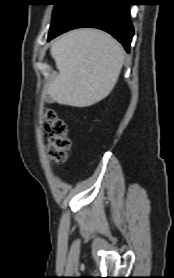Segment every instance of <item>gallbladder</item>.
I'll use <instances>...</instances> for the list:
<instances>
[{"label": "gallbladder", "instance_id": "bac80fb5", "mask_svg": "<svg viewBox=\"0 0 174 278\" xmlns=\"http://www.w3.org/2000/svg\"><path fill=\"white\" fill-rule=\"evenodd\" d=\"M45 100H46L47 103L53 102L52 98L49 95L45 96Z\"/></svg>", "mask_w": 174, "mask_h": 278}]
</instances>
